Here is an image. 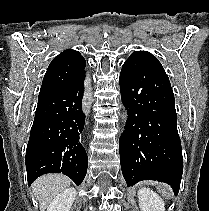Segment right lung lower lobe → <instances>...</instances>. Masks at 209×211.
<instances>
[{
    "label": "right lung lower lobe",
    "mask_w": 209,
    "mask_h": 211,
    "mask_svg": "<svg viewBox=\"0 0 209 211\" xmlns=\"http://www.w3.org/2000/svg\"><path fill=\"white\" fill-rule=\"evenodd\" d=\"M85 74L73 84L38 101L26 150L28 184L47 173H63L76 185L83 181L87 153L80 142Z\"/></svg>",
    "instance_id": "98d812e1"
}]
</instances>
